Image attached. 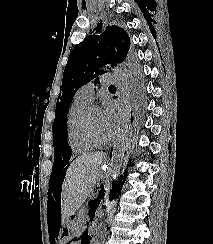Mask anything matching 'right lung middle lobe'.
I'll return each mask as SVG.
<instances>
[{"label":"right lung middle lobe","instance_id":"right-lung-middle-lobe-1","mask_svg":"<svg viewBox=\"0 0 213 244\" xmlns=\"http://www.w3.org/2000/svg\"><path fill=\"white\" fill-rule=\"evenodd\" d=\"M56 149V143H55V141H54V150ZM60 149H61V152L62 153H65L66 152V150H65V147H60ZM68 149H69V147H68ZM70 150V149H69ZM56 151V150H55ZM64 158V157H63ZM65 159V158H64ZM54 160H55V162L53 163V171H52V173L54 172V171H56L57 169H58V167L60 166V164H62V162H61V157H59L58 159L57 158H55L54 157ZM63 163H64V161H63ZM64 166V165H63Z\"/></svg>","mask_w":213,"mask_h":244}]
</instances>
